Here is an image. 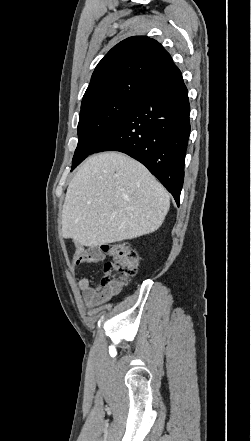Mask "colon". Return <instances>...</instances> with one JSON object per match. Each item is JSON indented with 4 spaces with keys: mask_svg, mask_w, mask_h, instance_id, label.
I'll return each instance as SVG.
<instances>
[{
    "mask_svg": "<svg viewBox=\"0 0 251 441\" xmlns=\"http://www.w3.org/2000/svg\"><path fill=\"white\" fill-rule=\"evenodd\" d=\"M101 250L112 257L103 267L101 284L121 289L130 282L138 269V253L127 242L104 244Z\"/></svg>",
    "mask_w": 251,
    "mask_h": 441,
    "instance_id": "1",
    "label": "colon"
}]
</instances>
